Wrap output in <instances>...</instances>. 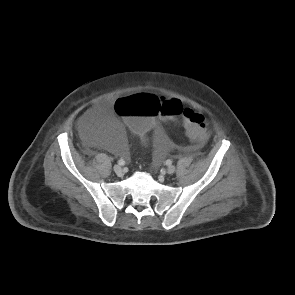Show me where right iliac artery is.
<instances>
[{"label": "right iliac artery", "instance_id": "1", "mask_svg": "<svg viewBox=\"0 0 295 295\" xmlns=\"http://www.w3.org/2000/svg\"><path fill=\"white\" fill-rule=\"evenodd\" d=\"M118 164L121 165V166H123V165L125 164V161H124L123 159H120V160L118 161Z\"/></svg>", "mask_w": 295, "mask_h": 295}]
</instances>
